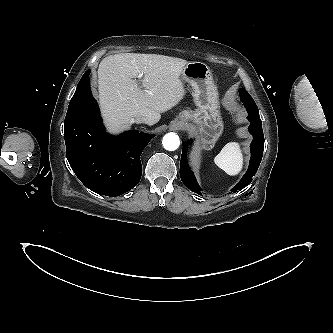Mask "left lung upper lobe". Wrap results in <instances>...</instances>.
<instances>
[{
    "label": "left lung upper lobe",
    "mask_w": 333,
    "mask_h": 333,
    "mask_svg": "<svg viewBox=\"0 0 333 333\" xmlns=\"http://www.w3.org/2000/svg\"><path fill=\"white\" fill-rule=\"evenodd\" d=\"M239 93H240V96H246V97L250 96L245 89H240Z\"/></svg>",
    "instance_id": "5c2ea615"
}]
</instances>
